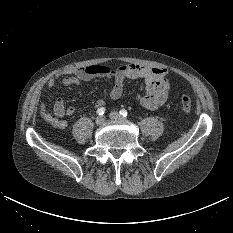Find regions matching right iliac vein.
I'll return each mask as SVG.
<instances>
[{"label": "right iliac vein", "mask_w": 233, "mask_h": 233, "mask_svg": "<svg viewBox=\"0 0 233 233\" xmlns=\"http://www.w3.org/2000/svg\"><path fill=\"white\" fill-rule=\"evenodd\" d=\"M105 122V117L104 116H99V117H97L96 118V120H95V123L97 124V125H102L103 123Z\"/></svg>", "instance_id": "right-iliac-vein-1"}]
</instances>
